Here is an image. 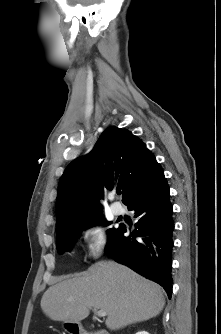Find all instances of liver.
<instances>
[{
    "instance_id": "1",
    "label": "liver",
    "mask_w": 221,
    "mask_h": 334,
    "mask_svg": "<svg viewBox=\"0 0 221 334\" xmlns=\"http://www.w3.org/2000/svg\"><path fill=\"white\" fill-rule=\"evenodd\" d=\"M165 305L159 285L114 261H99L80 275L47 289L41 299L43 313L55 321L78 323L90 308L107 312L110 330L157 316Z\"/></svg>"
}]
</instances>
